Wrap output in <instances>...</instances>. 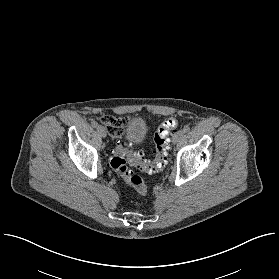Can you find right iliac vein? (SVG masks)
Masks as SVG:
<instances>
[{"mask_svg":"<svg viewBox=\"0 0 279 279\" xmlns=\"http://www.w3.org/2000/svg\"><path fill=\"white\" fill-rule=\"evenodd\" d=\"M97 130L99 132V134L101 135V137L105 138L107 135V131L103 126H98Z\"/></svg>","mask_w":279,"mask_h":279,"instance_id":"right-iliac-vein-1","label":"right iliac vein"}]
</instances>
